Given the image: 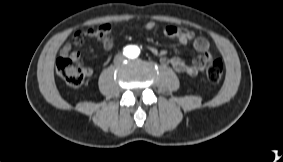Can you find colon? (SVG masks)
Returning <instances> with one entry per match:
<instances>
[{"label":"colon","instance_id":"5ec220e1","mask_svg":"<svg viewBox=\"0 0 283 162\" xmlns=\"http://www.w3.org/2000/svg\"><path fill=\"white\" fill-rule=\"evenodd\" d=\"M223 63L220 59H209L206 76L212 83H218L223 76ZM57 75L69 86L79 87L89 75V68L81 58L74 56H61L56 61Z\"/></svg>","mask_w":283,"mask_h":162}]
</instances>
